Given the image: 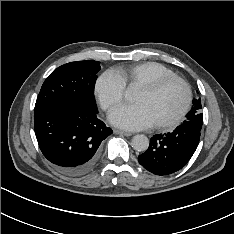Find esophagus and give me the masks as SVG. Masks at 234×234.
Listing matches in <instances>:
<instances>
[{"label":"esophagus","mask_w":234,"mask_h":234,"mask_svg":"<svg viewBox=\"0 0 234 234\" xmlns=\"http://www.w3.org/2000/svg\"><path fill=\"white\" fill-rule=\"evenodd\" d=\"M114 133L121 134V135L126 136V137H129L132 135V133H130V132H126V131H122V130H118V129H115Z\"/></svg>","instance_id":"esophagus-1"}]
</instances>
